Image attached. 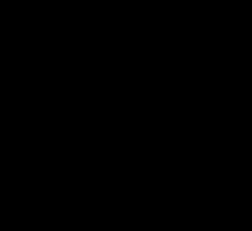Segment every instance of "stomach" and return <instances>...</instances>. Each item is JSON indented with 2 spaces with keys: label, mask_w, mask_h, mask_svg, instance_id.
Wrapping results in <instances>:
<instances>
[{
  "label": "stomach",
  "mask_w": 252,
  "mask_h": 231,
  "mask_svg": "<svg viewBox=\"0 0 252 231\" xmlns=\"http://www.w3.org/2000/svg\"><path fill=\"white\" fill-rule=\"evenodd\" d=\"M172 62V59L167 56L157 53H148L143 57L141 64L144 71H151L155 64L169 66Z\"/></svg>",
  "instance_id": "0dacf381"
}]
</instances>
